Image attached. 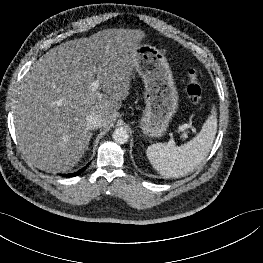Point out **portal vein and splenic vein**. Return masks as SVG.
Masks as SVG:
<instances>
[{
  "label": "portal vein and splenic vein",
  "mask_w": 263,
  "mask_h": 263,
  "mask_svg": "<svg viewBox=\"0 0 263 263\" xmlns=\"http://www.w3.org/2000/svg\"><path fill=\"white\" fill-rule=\"evenodd\" d=\"M99 80H95L93 83H92V86H91V90L92 91H97V89L99 88ZM169 145L172 146V147H176V143L173 139V137L170 138V141H169Z\"/></svg>",
  "instance_id": "1"
}]
</instances>
